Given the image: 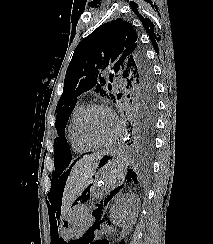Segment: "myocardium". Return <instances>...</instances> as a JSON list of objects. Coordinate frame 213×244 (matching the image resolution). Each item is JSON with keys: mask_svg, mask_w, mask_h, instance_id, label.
<instances>
[{"mask_svg": "<svg viewBox=\"0 0 213 244\" xmlns=\"http://www.w3.org/2000/svg\"><path fill=\"white\" fill-rule=\"evenodd\" d=\"M93 110H103V111L108 112L115 122V126H116L115 133L107 141H103V142L93 141L85 133L84 124H85L86 118L89 115V113ZM76 131H77V134H78V137L80 138V140L83 143H85L86 145L90 146L91 148H104V147L111 146L112 144H114L117 141V139L120 135V132H121V122L119 121L116 114L112 111V109H110L107 105H104L101 103H92V104L87 105L85 107V109L83 110V112L81 113V115L77 121Z\"/></svg>", "mask_w": 213, "mask_h": 244, "instance_id": "1", "label": "myocardium"}]
</instances>
